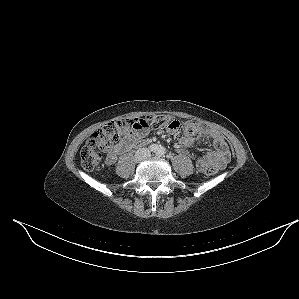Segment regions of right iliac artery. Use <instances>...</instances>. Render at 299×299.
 Listing matches in <instances>:
<instances>
[{"instance_id": "obj_1", "label": "right iliac artery", "mask_w": 299, "mask_h": 299, "mask_svg": "<svg viewBox=\"0 0 299 299\" xmlns=\"http://www.w3.org/2000/svg\"><path fill=\"white\" fill-rule=\"evenodd\" d=\"M158 149H159V147L156 144H153V145L150 146V150L153 151V152H157Z\"/></svg>"}]
</instances>
